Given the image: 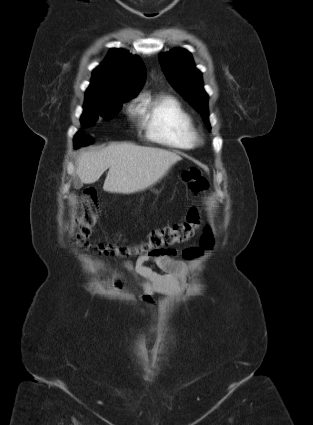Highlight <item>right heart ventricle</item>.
Listing matches in <instances>:
<instances>
[{"instance_id": "right-heart-ventricle-1", "label": "right heart ventricle", "mask_w": 313, "mask_h": 425, "mask_svg": "<svg viewBox=\"0 0 313 425\" xmlns=\"http://www.w3.org/2000/svg\"><path fill=\"white\" fill-rule=\"evenodd\" d=\"M136 112L151 141L176 149L194 147V122L173 97L145 94L140 98Z\"/></svg>"}]
</instances>
